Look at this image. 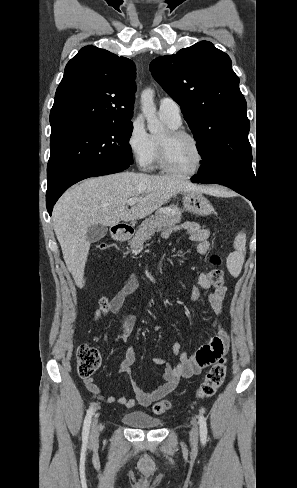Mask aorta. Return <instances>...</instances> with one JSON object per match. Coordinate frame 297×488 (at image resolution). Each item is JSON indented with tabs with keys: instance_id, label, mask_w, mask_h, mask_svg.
Segmentation results:
<instances>
[{
	"instance_id": "obj_1",
	"label": "aorta",
	"mask_w": 297,
	"mask_h": 488,
	"mask_svg": "<svg viewBox=\"0 0 297 488\" xmlns=\"http://www.w3.org/2000/svg\"><path fill=\"white\" fill-rule=\"evenodd\" d=\"M141 109L147 120V128L152 134L163 132L164 125L156 116L154 90L147 88L141 93Z\"/></svg>"
}]
</instances>
